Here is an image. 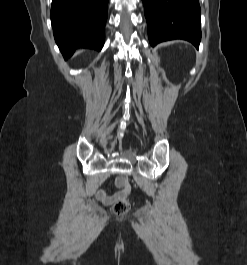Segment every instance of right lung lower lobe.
<instances>
[{"instance_id": "right-lung-lower-lobe-1", "label": "right lung lower lobe", "mask_w": 247, "mask_h": 265, "mask_svg": "<svg viewBox=\"0 0 247 265\" xmlns=\"http://www.w3.org/2000/svg\"><path fill=\"white\" fill-rule=\"evenodd\" d=\"M107 4L108 0H52L53 33L65 59L80 47L102 49Z\"/></svg>"}]
</instances>
